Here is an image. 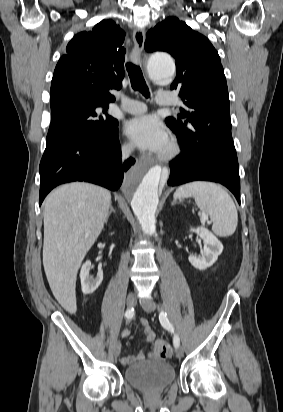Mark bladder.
<instances>
[{
	"mask_svg": "<svg viewBox=\"0 0 283 412\" xmlns=\"http://www.w3.org/2000/svg\"><path fill=\"white\" fill-rule=\"evenodd\" d=\"M125 380L132 386L148 391H161L176 378L173 366L166 361L142 362L124 371Z\"/></svg>",
	"mask_w": 283,
	"mask_h": 412,
	"instance_id": "1",
	"label": "bladder"
}]
</instances>
